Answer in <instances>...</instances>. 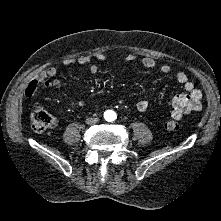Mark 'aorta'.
<instances>
[{"label":"aorta","instance_id":"aorta-1","mask_svg":"<svg viewBox=\"0 0 221 221\" xmlns=\"http://www.w3.org/2000/svg\"><path fill=\"white\" fill-rule=\"evenodd\" d=\"M107 113H108V114H110V116H109V117H111V115L113 114V112H112V111H108ZM109 117L107 116V119H109Z\"/></svg>","mask_w":221,"mask_h":221}]
</instances>
